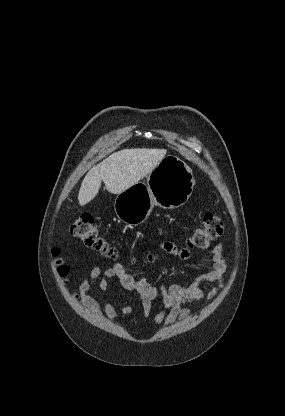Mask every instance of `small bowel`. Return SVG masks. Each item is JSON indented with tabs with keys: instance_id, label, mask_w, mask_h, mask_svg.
Returning a JSON list of instances; mask_svg holds the SVG:
<instances>
[{
	"instance_id": "obj_1",
	"label": "small bowel",
	"mask_w": 285,
	"mask_h": 416,
	"mask_svg": "<svg viewBox=\"0 0 285 416\" xmlns=\"http://www.w3.org/2000/svg\"><path fill=\"white\" fill-rule=\"evenodd\" d=\"M159 248L180 259H187L191 255L189 247L178 248L169 241L161 242ZM213 255V268L199 274L188 284L161 283L159 286H156L145 277L137 278L130 274L120 263H116L105 270L95 266L89 275L82 280L73 293V297L74 299H79L97 317L115 320L118 317V311L115 306L101 297L97 299L91 296L89 292H96L101 295L108 291L111 280L118 279L124 289L137 295L142 303L145 317L149 316L153 302L160 301L162 308L154 316L153 323L155 325L170 326L177 320H186L191 316V309L186 305L195 304L204 299L211 300L222 289L227 273V262L223 256L222 244L214 247ZM210 283H215L216 286L206 294L202 287ZM120 311L125 315H130L132 308L122 303L120 304Z\"/></svg>"
}]
</instances>
